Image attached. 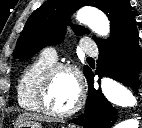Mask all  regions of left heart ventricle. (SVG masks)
<instances>
[{"label": "left heart ventricle", "instance_id": "b2bd125f", "mask_svg": "<svg viewBox=\"0 0 142 128\" xmlns=\"http://www.w3.org/2000/svg\"><path fill=\"white\" fill-rule=\"evenodd\" d=\"M78 89L75 78L67 71L57 73L50 85L48 104L56 111H65L73 106Z\"/></svg>", "mask_w": 142, "mask_h": 128}]
</instances>
